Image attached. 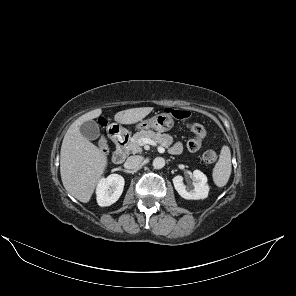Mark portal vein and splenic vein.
Masks as SVG:
<instances>
[{"label": "portal vein and splenic vein", "instance_id": "18ae733b", "mask_svg": "<svg viewBox=\"0 0 296 296\" xmlns=\"http://www.w3.org/2000/svg\"><path fill=\"white\" fill-rule=\"evenodd\" d=\"M139 143H140L141 145H145V144L155 145V144H156L153 140H151V139H149V138H142V139L139 141ZM158 151H159L160 153H164V152H165L164 148L161 147V146L158 147Z\"/></svg>", "mask_w": 296, "mask_h": 296}]
</instances>
